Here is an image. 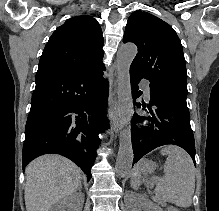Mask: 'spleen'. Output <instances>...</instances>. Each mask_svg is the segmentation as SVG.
I'll list each match as a JSON object with an SVG mask.
<instances>
[{
	"label": "spleen",
	"instance_id": "obj_1",
	"mask_svg": "<svg viewBox=\"0 0 219 211\" xmlns=\"http://www.w3.org/2000/svg\"><path fill=\"white\" fill-rule=\"evenodd\" d=\"M162 155H168L164 165V177L158 179L155 189L156 201H171L179 207H189L195 189L194 163L187 151L178 145H167L161 149ZM141 185V173L133 169L131 187Z\"/></svg>",
	"mask_w": 219,
	"mask_h": 211
}]
</instances>
